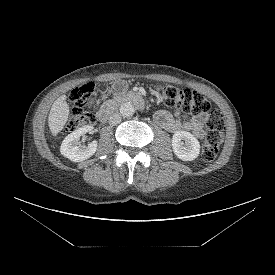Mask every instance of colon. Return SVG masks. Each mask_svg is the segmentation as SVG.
<instances>
[{
	"instance_id": "5ec220e1",
	"label": "colon",
	"mask_w": 275,
	"mask_h": 275,
	"mask_svg": "<svg viewBox=\"0 0 275 275\" xmlns=\"http://www.w3.org/2000/svg\"><path fill=\"white\" fill-rule=\"evenodd\" d=\"M157 92L162 102L170 108H178L192 115L209 114L202 157L206 161L213 160L224 138L225 123L221 113L217 109H211L205 96L197 91L159 86ZM70 100L73 103V110L66 124V131H74L95 121L99 98L94 83L89 82L75 88L70 94Z\"/></svg>"
}]
</instances>
